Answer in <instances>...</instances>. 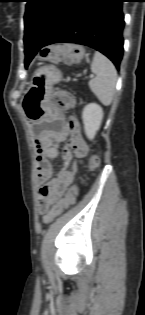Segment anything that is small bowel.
Instances as JSON below:
<instances>
[{
    "instance_id": "small-bowel-1",
    "label": "small bowel",
    "mask_w": 145,
    "mask_h": 315,
    "mask_svg": "<svg viewBox=\"0 0 145 315\" xmlns=\"http://www.w3.org/2000/svg\"><path fill=\"white\" fill-rule=\"evenodd\" d=\"M69 133L71 137L67 147L62 151L61 172L56 177L51 178L50 159L58 156V143L64 141ZM32 146L36 147V180L41 185L39 209L44 214V222L47 223L49 222L51 207L72 185L76 177L77 164H74L70 170H66L71 160L72 151L80 161L87 156L88 146L81 137L74 118H69L60 131L55 133L47 131L41 140H33Z\"/></svg>"
}]
</instances>
